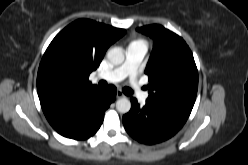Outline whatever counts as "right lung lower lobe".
<instances>
[{"label":"right lung lower lobe","mask_w":248,"mask_h":165,"mask_svg":"<svg viewBox=\"0 0 248 165\" xmlns=\"http://www.w3.org/2000/svg\"><path fill=\"white\" fill-rule=\"evenodd\" d=\"M116 93V87L109 85L73 110L47 120L64 137L75 140L87 139L99 130L104 113L114 102Z\"/></svg>","instance_id":"right-lung-lower-lobe-1"}]
</instances>
